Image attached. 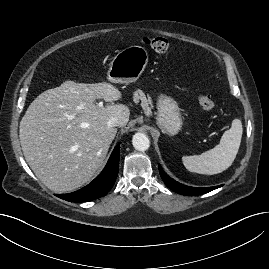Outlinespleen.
<instances>
[{"label": "spleen", "mask_w": 269, "mask_h": 269, "mask_svg": "<svg viewBox=\"0 0 269 269\" xmlns=\"http://www.w3.org/2000/svg\"><path fill=\"white\" fill-rule=\"evenodd\" d=\"M243 134L242 122L234 119L231 128L226 130L220 143L201 155L184 156L182 162L190 171L214 175L229 168L236 158Z\"/></svg>", "instance_id": "3e777b00"}]
</instances>
